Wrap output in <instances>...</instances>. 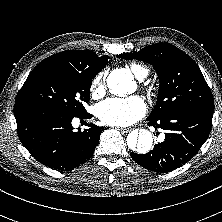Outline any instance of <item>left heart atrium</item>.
Masks as SVG:
<instances>
[{"mask_svg": "<svg viewBox=\"0 0 222 222\" xmlns=\"http://www.w3.org/2000/svg\"><path fill=\"white\" fill-rule=\"evenodd\" d=\"M146 105L139 96L109 98L97 105L99 119L112 126H128L141 119L146 113Z\"/></svg>", "mask_w": 222, "mask_h": 222, "instance_id": "39dd6f15", "label": "left heart atrium"}]
</instances>
